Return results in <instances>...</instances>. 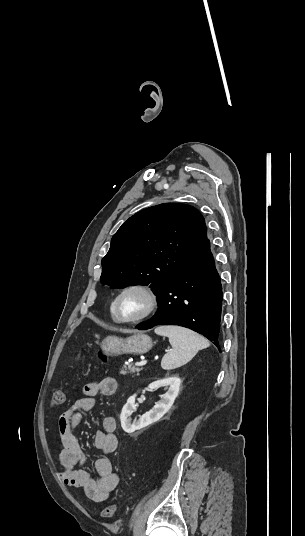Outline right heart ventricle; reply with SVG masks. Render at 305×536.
Returning <instances> with one entry per match:
<instances>
[{
    "label": "right heart ventricle",
    "instance_id": "right-heart-ventricle-1",
    "mask_svg": "<svg viewBox=\"0 0 305 536\" xmlns=\"http://www.w3.org/2000/svg\"><path fill=\"white\" fill-rule=\"evenodd\" d=\"M110 318L112 320V322L116 323L115 319H114V316H113V313H112V307L110 306Z\"/></svg>",
    "mask_w": 305,
    "mask_h": 536
}]
</instances>
